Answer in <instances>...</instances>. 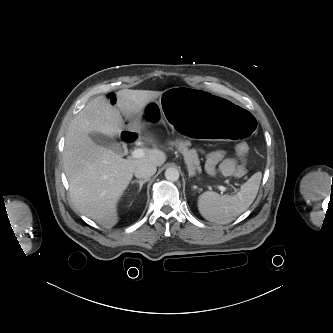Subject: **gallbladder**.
<instances>
[{
	"label": "gallbladder",
	"instance_id": "bac80fb5",
	"mask_svg": "<svg viewBox=\"0 0 333 333\" xmlns=\"http://www.w3.org/2000/svg\"><path fill=\"white\" fill-rule=\"evenodd\" d=\"M90 137L95 143H97L105 148H108L119 155L123 154V149L121 147V144L118 143L113 138H110L103 134H91Z\"/></svg>",
	"mask_w": 333,
	"mask_h": 333
}]
</instances>
